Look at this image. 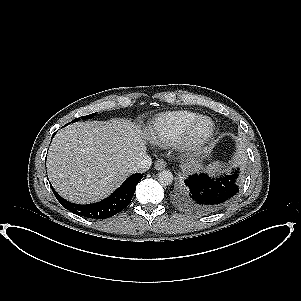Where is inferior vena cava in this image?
<instances>
[{
  "mask_svg": "<svg viewBox=\"0 0 301 301\" xmlns=\"http://www.w3.org/2000/svg\"><path fill=\"white\" fill-rule=\"evenodd\" d=\"M151 164V157L148 154H144L132 164L129 170L131 173H144L150 168Z\"/></svg>",
  "mask_w": 301,
  "mask_h": 301,
  "instance_id": "obj_1",
  "label": "inferior vena cava"
}]
</instances>
